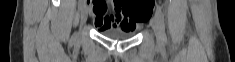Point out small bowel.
<instances>
[{
	"mask_svg": "<svg viewBox=\"0 0 235 62\" xmlns=\"http://www.w3.org/2000/svg\"><path fill=\"white\" fill-rule=\"evenodd\" d=\"M119 4H115L112 10H109L105 3L101 4L102 8L98 6L92 7L91 17L98 30L111 28L135 30L137 28L138 24H134L131 18L123 12Z\"/></svg>",
	"mask_w": 235,
	"mask_h": 62,
	"instance_id": "1",
	"label": "small bowel"
}]
</instances>
